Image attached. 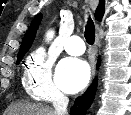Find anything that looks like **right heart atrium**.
Returning <instances> with one entry per match:
<instances>
[{"label": "right heart atrium", "instance_id": "right-heart-atrium-1", "mask_svg": "<svg viewBox=\"0 0 131 115\" xmlns=\"http://www.w3.org/2000/svg\"><path fill=\"white\" fill-rule=\"evenodd\" d=\"M53 56L43 48L27 58L23 73V85L27 94L39 101L52 102L64 98L52 76Z\"/></svg>", "mask_w": 131, "mask_h": 115}]
</instances>
